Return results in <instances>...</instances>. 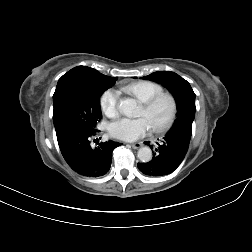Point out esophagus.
Instances as JSON below:
<instances>
[{
  "mask_svg": "<svg viewBox=\"0 0 252 252\" xmlns=\"http://www.w3.org/2000/svg\"><path fill=\"white\" fill-rule=\"evenodd\" d=\"M130 146L133 149H139L142 146V143H140V142H138V143H132V144H130Z\"/></svg>",
  "mask_w": 252,
  "mask_h": 252,
  "instance_id": "34e87169",
  "label": "esophagus"
}]
</instances>
